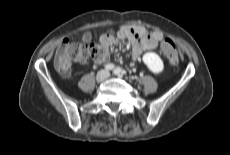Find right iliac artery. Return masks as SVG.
<instances>
[{"label": "right iliac artery", "instance_id": "right-iliac-artery-1", "mask_svg": "<svg viewBox=\"0 0 230 155\" xmlns=\"http://www.w3.org/2000/svg\"><path fill=\"white\" fill-rule=\"evenodd\" d=\"M114 67H115L114 64H111V63L105 65L106 70H112L114 69Z\"/></svg>", "mask_w": 230, "mask_h": 155}]
</instances>
